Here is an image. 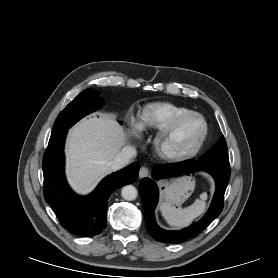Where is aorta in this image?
Instances as JSON below:
<instances>
[{
    "label": "aorta",
    "mask_w": 278,
    "mask_h": 278,
    "mask_svg": "<svg viewBox=\"0 0 278 278\" xmlns=\"http://www.w3.org/2000/svg\"><path fill=\"white\" fill-rule=\"evenodd\" d=\"M121 195L123 199L132 201L137 197V189L132 185H126L122 188Z\"/></svg>",
    "instance_id": "aorta-1"
}]
</instances>
